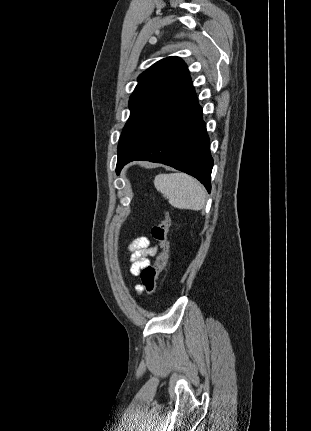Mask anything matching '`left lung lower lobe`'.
<instances>
[{"mask_svg":"<svg viewBox=\"0 0 311 431\" xmlns=\"http://www.w3.org/2000/svg\"><path fill=\"white\" fill-rule=\"evenodd\" d=\"M134 160L174 167L197 178L210 193L213 158L202 108L191 81L165 103L130 147L118 155L117 174Z\"/></svg>","mask_w":311,"mask_h":431,"instance_id":"0a47b994","label":"left lung lower lobe"}]
</instances>
